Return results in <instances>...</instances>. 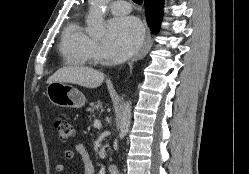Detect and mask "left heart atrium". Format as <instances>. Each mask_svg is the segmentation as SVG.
Here are the masks:
<instances>
[{
    "instance_id": "39dd6f15",
    "label": "left heart atrium",
    "mask_w": 249,
    "mask_h": 174,
    "mask_svg": "<svg viewBox=\"0 0 249 174\" xmlns=\"http://www.w3.org/2000/svg\"><path fill=\"white\" fill-rule=\"evenodd\" d=\"M143 40V27L135 17H119L110 21L109 33L102 45L104 58L124 61L137 51Z\"/></svg>"
}]
</instances>
